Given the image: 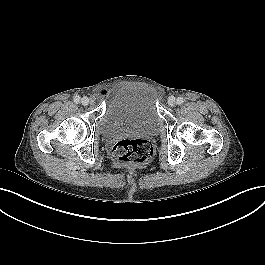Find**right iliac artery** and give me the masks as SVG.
<instances>
[{"mask_svg": "<svg viewBox=\"0 0 265 265\" xmlns=\"http://www.w3.org/2000/svg\"><path fill=\"white\" fill-rule=\"evenodd\" d=\"M75 103H79L80 102V96L79 95H75L73 98Z\"/></svg>", "mask_w": 265, "mask_h": 265, "instance_id": "obj_1", "label": "right iliac artery"}]
</instances>
